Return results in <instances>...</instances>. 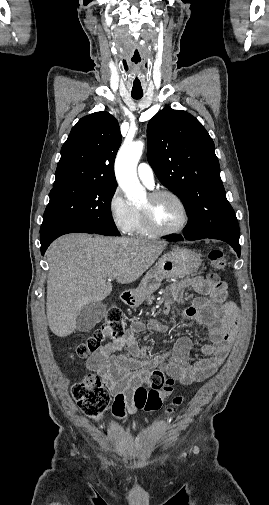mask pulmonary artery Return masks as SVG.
<instances>
[{
    "label": "pulmonary artery",
    "instance_id": "1",
    "mask_svg": "<svg viewBox=\"0 0 269 505\" xmlns=\"http://www.w3.org/2000/svg\"><path fill=\"white\" fill-rule=\"evenodd\" d=\"M139 179L149 188L154 186V172L151 166L147 163H140L137 168Z\"/></svg>",
    "mask_w": 269,
    "mask_h": 505
}]
</instances>
